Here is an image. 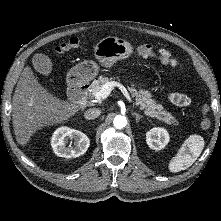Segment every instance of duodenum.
<instances>
[{
    "mask_svg": "<svg viewBox=\"0 0 221 221\" xmlns=\"http://www.w3.org/2000/svg\"><path fill=\"white\" fill-rule=\"evenodd\" d=\"M89 91V85L82 81H72L69 87L70 98L79 103L84 104L87 100V95Z\"/></svg>",
    "mask_w": 221,
    "mask_h": 221,
    "instance_id": "obj_1",
    "label": "duodenum"
}]
</instances>
